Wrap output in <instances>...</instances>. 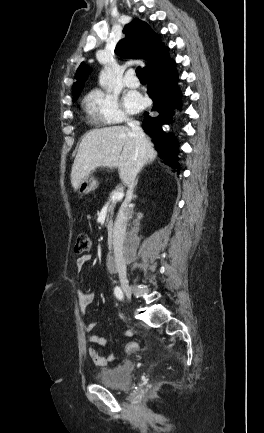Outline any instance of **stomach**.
I'll list each match as a JSON object with an SVG mask.
<instances>
[{
  "label": "stomach",
  "instance_id": "obj_1",
  "mask_svg": "<svg viewBox=\"0 0 264 433\" xmlns=\"http://www.w3.org/2000/svg\"><path fill=\"white\" fill-rule=\"evenodd\" d=\"M98 187L97 180L92 176V174H88L83 178L78 187V192L80 194H87Z\"/></svg>",
  "mask_w": 264,
  "mask_h": 433
}]
</instances>
